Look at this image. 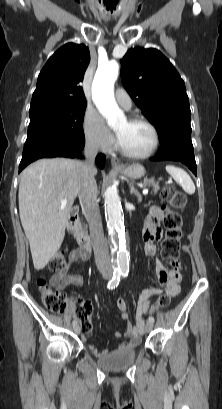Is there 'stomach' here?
<instances>
[{"mask_svg":"<svg viewBox=\"0 0 222 409\" xmlns=\"http://www.w3.org/2000/svg\"><path fill=\"white\" fill-rule=\"evenodd\" d=\"M122 174L132 179H139L144 176L145 169L140 164H132L129 166H122L119 168Z\"/></svg>","mask_w":222,"mask_h":409,"instance_id":"obj_1","label":"stomach"}]
</instances>
